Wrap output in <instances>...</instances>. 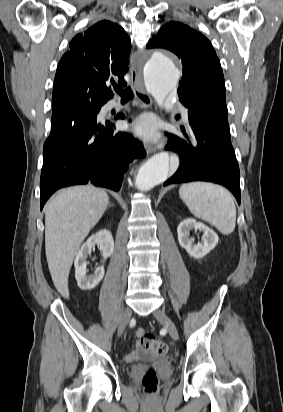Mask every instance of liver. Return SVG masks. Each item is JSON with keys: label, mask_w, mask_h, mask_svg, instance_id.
I'll return each mask as SVG.
<instances>
[{"label": "liver", "mask_w": 283, "mask_h": 412, "mask_svg": "<svg viewBox=\"0 0 283 412\" xmlns=\"http://www.w3.org/2000/svg\"><path fill=\"white\" fill-rule=\"evenodd\" d=\"M107 193L91 185L61 190L45 207V252L58 292L69 298L68 276L77 251L107 209Z\"/></svg>", "instance_id": "1"}]
</instances>
